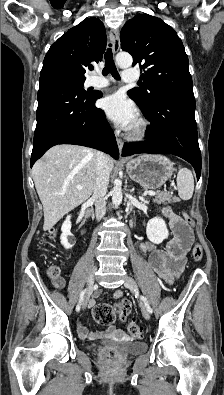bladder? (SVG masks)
Here are the masks:
<instances>
[{
	"label": "bladder",
	"instance_id": "obj_1",
	"mask_svg": "<svg viewBox=\"0 0 224 395\" xmlns=\"http://www.w3.org/2000/svg\"><path fill=\"white\" fill-rule=\"evenodd\" d=\"M95 346H90V348H94ZM146 350V345L142 342H130L125 348L124 351L127 354H139Z\"/></svg>",
	"mask_w": 224,
	"mask_h": 395
}]
</instances>
